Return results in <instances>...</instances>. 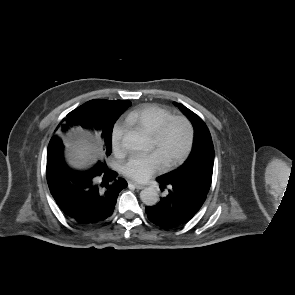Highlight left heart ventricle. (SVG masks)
<instances>
[{"label":"left heart ventricle","instance_id":"obj_1","mask_svg":"<svg viewBox=\"0 0 295 295\" xmlns=\"http://www.w3.org/2000/svg\"><path fill=\"white\" fill-rule=\"evenodd\" d=\"M187 133L181 124H173L161 145L156 147L152 141V149L159 154L164 164L177 157L185 147Z\"/></svg>","mask_w":295,"mask_h":295}]
</instances>
